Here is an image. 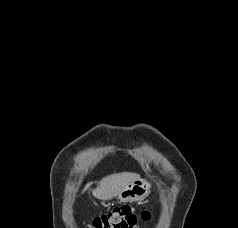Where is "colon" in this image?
Returning a JSON list of instances; mask_svg holds the SVG:
<instances>
[{
	"label": "colon",
	"mask_w": 238,
	"mask_h": 228,
	"mask_svg": "<svg viewBox=\"0 0 238 228\" xmlns=\"http://www.w3.org/2000/svg\"><path fill=\"white\" fill-rule=\"evenodd\" d=\"M149 217L148 211L137 212L132 206L121 205L94 217L85 228H138L139 222Z\"/></svg>",
	"instance_id": "5ec220e1"
}]
</instances>
